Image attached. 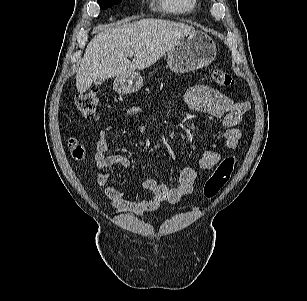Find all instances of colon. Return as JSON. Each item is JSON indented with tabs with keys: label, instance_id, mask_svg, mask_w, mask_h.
Returning <instances> with one entry per match:
<instances>
[{
	"label": "colon",
	"instance_id": "5ec220e1",
	"mask_svg": "<svg viewBox=\"0 0 307 301\" xmlns=\"http://www.w3.org/2000/svg\"><path fill=\"white\" fill-rule=\"evenodd\" d=\"M211 77L220 86L229 87L234 84L232 75L221 69H213ZM98 103L99 92L97 89L80 93L76 98L77 109L86 120H94L97 117ZM71 148L75 158L80 159L83 156L84 149L80 144L73 142ZM235 165L236 159L233 156H227L218 163L213 173L204 183L203 194L206 198L212 199L217 196L230 179Z\"/></svg>",
	"mask_w": 307,
	"mask_h": 301
}]
</instances>
